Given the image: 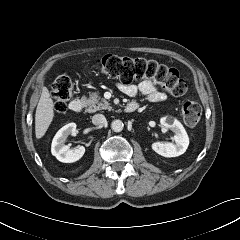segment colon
<instances>
[{
	"instance_id": "1",
	"label": "colon",
	"mask_w": 240,
	"mask_h": 240,
	"mask_svg": "<svg viewBox=\"0 0 240 240\" xmlns=\"http://www.w3.org/2000/svg\"><path fill=\"white\" fill-rule=\"evenodd\" d=\"M96 66L107 78L118 79L123 84L133 81H152L160 84L172 96L182 98L187 92V85L178 71L155 60L143 57L130 58L109 54L96 60ZM74 84L67 74L56 77L52 86L53 107L57 113L66 111L73 96ZM181 114L184 122L192 127L198 126L201 120V108L195 102L183 100Z\"/></svg>"
}]
</instances>
